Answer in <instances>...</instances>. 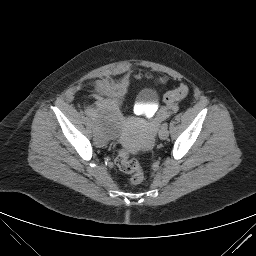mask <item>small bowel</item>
Here are the masks:
<instances>
[{"instance_id":"c3829d8e","label":"small bowel","mask_w":256,"mask_h":256,"mask_svg":"<svg viewBox=\"0 0 256 256\" xmlns=\"http://www.w3.org/2000/svg\"><path fill=\"white\" fill-rule=\"evenodd\" d=\"M138 76V75H137ZM130 82V76H124L120 81H99L97 84V101L100 104L106 105L107 107L117 110L118 106L121 104L128 85ZM156 82L159 84L165 83L166 78L160 77L156 79ZM173 107H164L156 115L154 121L151 123V127L154 128L158 122L165 119L172 111Z\"/></svg>"}]
</instances>
